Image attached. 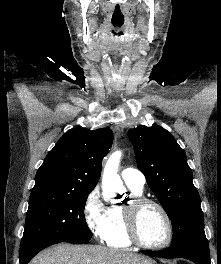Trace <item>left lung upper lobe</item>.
Wrapping results in <instances>:
<instances>
[{
    "label": "left lung upper lobe",
    "mask_w": 221,
    "mask_h": 264,
    "mask_svg": "<svg viewBox=\"0 0 221 264\" xmlns=\"http://www.w3.org/2000/svg\"><path fill=\"white\" fill-rule=\"evenodd\" d=\"M128 137L134 146L139 170L171 219V245L206 239L200 197L184 150L158 125L130 129Z\"/></svg>",
    "instance_id": "1"
}]
</instances>
